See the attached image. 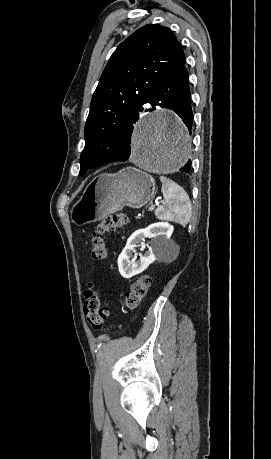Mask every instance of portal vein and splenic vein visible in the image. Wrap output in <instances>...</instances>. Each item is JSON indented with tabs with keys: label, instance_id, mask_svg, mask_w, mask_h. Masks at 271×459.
<instances>
[{
	"label": "portal vein and splenic vein",
	"instance_id": "portal-vein-and-splenic-vein-1",
	"mask_svg": "<svg viewBox=\"0 0 271 459\" xmlns=\"http://www.w3.org/2000/svg\"><path fill=\"white\" fill-rule=\"evenodd\" d=\"M155 206H150L149 210H154Z\"/></svg>",
	"mask_w": 271,
	"mask_h": 459
}]
</instances>
